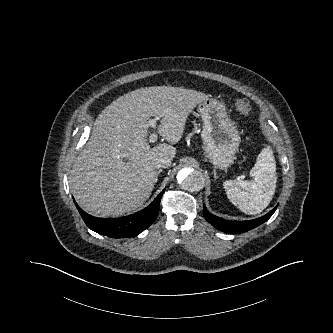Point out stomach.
<instances>
[{"mask_svg":"<svg viewBox=\"0 0 333 333\" xmlns=\"http://www.w3.org/2000/svg\"><path fill=\"white\" fill-rule=\"evenodd\" d=\"M198 111L203 122L201 138L205 156L215 168H228L235 160L241 138L225 105L207 98L198 104Z\"/></svg>","mask_w":333,"mask_h":333,"instance_id":"obj_1","label":"stomach"}]
</instances>
